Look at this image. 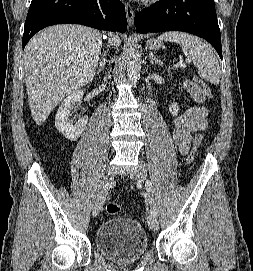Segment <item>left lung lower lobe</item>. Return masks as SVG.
<instances>
[{
    "mask_svg": "<svg viewBox=\"0 0 253 271\" xmlns=\"http://www.w3.org/2000/svg\"><path fill=\"white\" fill-rule=\"evenodd\" d=\"M139 33L185 31L207 40L222 58L214 0H162L135 16Z\"/></svg>",
    "mask_w": 253,
    "mask_h": 271,
    "instance_id": "left-lung-lower-lobe-1",
    "label": "left lung lower lobe"
}]
</instances>
